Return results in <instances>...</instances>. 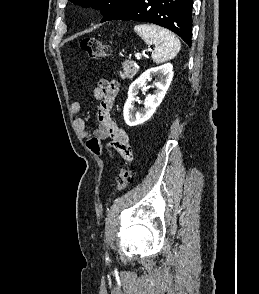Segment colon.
I'll list each match as a JSON object with an SVG mask.
<instances>
[{
  "mask_svg": "<svg viewBox=\"0 0 259 294\" xmlns=\"http://www.w3.org/2000/svg\"><path fill=\"white\" fill-rule=\"evenodd\" d=\"M81 49L93 59H101L109 55V46L98 38H85L80 43ZM134 174L128 167L120 169L116 176V191L126 189L133 181Z\"/></svg>",
  "mask_w": 259,
  "mask_h": 294,
  "instance_id": "5ec220e1",
  "label": "colon"
}]
</instances>
